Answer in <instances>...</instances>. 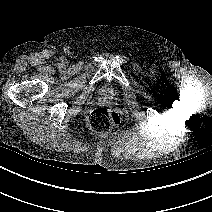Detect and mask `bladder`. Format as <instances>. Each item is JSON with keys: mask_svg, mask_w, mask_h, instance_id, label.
I'll return each instance as SVG.
<instances>
[{"mask_svg": "<svg viewBox=\"0 0 212 212\" xmlns=\"http://www.w3.org/2000/svg\"><path fill=\"white\" fill-rule=\"evenodd\" d=\"M102 95L109 96V97H116L117 90L113 87H105L102 91Z\"/></svg>", "mask_w": 212, "mask_h": 212, "instance_id": "bladder-1", "label": "bladder"}]
</instances>
